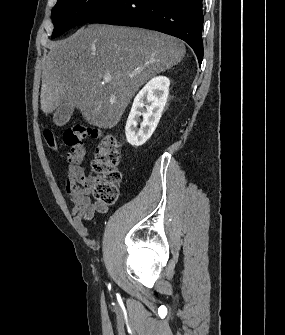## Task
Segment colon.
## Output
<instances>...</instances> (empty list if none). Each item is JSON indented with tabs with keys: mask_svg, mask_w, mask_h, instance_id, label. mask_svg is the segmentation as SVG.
<instances>
[{
	"mask_svg": "<svg viewBox=\"0 0 285 335\" xmlns=\"http://www.w3.org/2000/svg\"><path fill=\"white\" fill-rule=\"evenodd\" d=\"M43 136L49 148L58 149L57 138L52 130H44ZM87 138L98 141L92 162L95 176L90 179L92 194L102 204H114L118 199L121 183V173L118 169L120 144L111 134L83 124H75L63 134L64 143L69 147L66 159L70 165L82 163L85 156L84 142Z\"/></svg>",
	"mask_w": 285,
	"mask_h": 335,
	"instance_id": "colon-1",
	"label": "colon"
}]
</instances>
